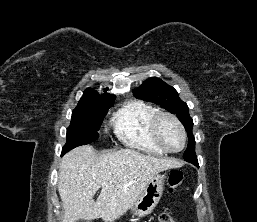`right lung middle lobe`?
<instances>
[{
	"label": "right lung middle lobe",
	"instance_id": "obj_1",
	"mask_svg": "<svg viewBox=\"0 0 257 222\" xmlns=\"http://www.w3.org/2000/svg\"><path fill=\"white\" fill-rule=\"evenodd\" d=\"M113 103L114 100L109 103L94 102L77 105L72 112L71 124L67 128V142L62 148V155L77 146L89 144L98 139L99 128Z\"/></svg>",
	"mask_w": 257,
	"mask_h": 222
}]
</instances>
